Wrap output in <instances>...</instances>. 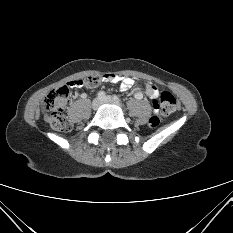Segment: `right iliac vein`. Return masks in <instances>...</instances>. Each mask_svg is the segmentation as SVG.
<instances>
[{
    "label": "right iliac vein",
    "mask_w": 233,
    "mask_h": 233,
    "mask_svg": "<svg viewBox=\"0 0 233 233\" xmlns=\"http://www.w3.org/2000/svg\"><path fill=\"white\" fill-rule=\"evenodd\" d=\"M101 104H102V100L100 98H95L92 102V108L94 110H97Z\"/></svg>",
    "instance_id": "right-iliac-vein-1"
}]
</instances>
